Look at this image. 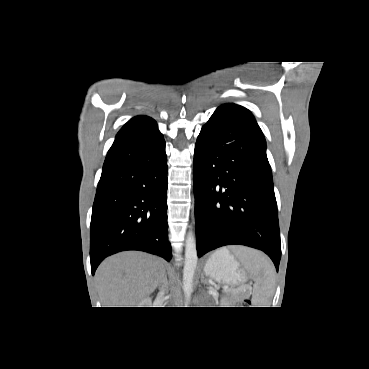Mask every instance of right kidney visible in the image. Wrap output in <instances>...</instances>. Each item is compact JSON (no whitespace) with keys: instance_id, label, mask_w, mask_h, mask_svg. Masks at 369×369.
<instances>
[{"instance_id":"obj_1","label":"right kidney","mask_w":369,"mask_h":369,"mask_svg":"<svg viewBox=\"0 0 369 369\" xmlns=\"http://www.w3.org/2000/svg\"><path fill=\"white\" fill-rule=\"evenodd\" d=\"M152 303L151 298H144L140 303H139V307H149Z\"/></svg>"}]
</instances>
